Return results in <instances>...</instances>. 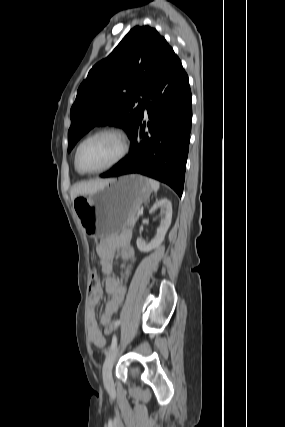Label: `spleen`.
Wrapping results in <instances>:
<instances>
[{
	"mask_svg": "<svg viewBox=\"0 0 285 427\" xmlns=\"http://www.w3.org/2000/svg\"><path fill=\"white\" fill-rule=\"evenodd\" d=\"M149 182H150L152 190L156 193L159 190V187H160L159 182H157V181H155L153 179H150Z\"/></svg>",
	"mask_w": 285,
	"mask_h": 427,
	"instance_id": "1",
	"label": "spleen"
}]
</instances>
